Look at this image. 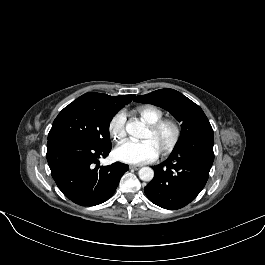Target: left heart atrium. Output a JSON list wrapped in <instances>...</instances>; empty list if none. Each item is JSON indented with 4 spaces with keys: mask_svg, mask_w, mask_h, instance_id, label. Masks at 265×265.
Masks as SVG:
<instances>
[{
    "mask_svg": "<svg viewBox=\"0 0 265 265\" xmlns=\"http://www.w3.org/2000/svg\"><path fill=\"white\" fill-rule=\"evenodd\" d=\"M114 155L121 162L141 164L155 160L158 156V151L148 140L142 142L125 140L116 147Z\"/></svg>",
    "mask_w": 265,
    "mask_h": 265,
    "instance_id": "1",
    "label": "left heart atrium"
}]
</instances>
